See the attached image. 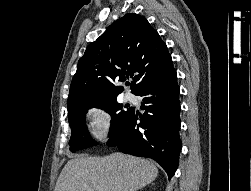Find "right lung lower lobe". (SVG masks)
<instances>
[{"instance_id":"obj_1","label":"right lung lower lobe","mask_w":251,"mask_h":191,"mask_svg":"<svg viewBox=\"0 0 251 191\" xmlns=\"http://www.w3.org/2000/svg\"><path fill=\"white\" fill-rule=\"evenodd\" d=\"M179 92L176 72L159 84L143 88L135 94L143 97L141 108L146 111L139 115L140 123H136L138 117L133 109L125 123L109 136L107 145L154 159L170 179L178 167L182 148Z\"/></svg>"}]
</instances>
